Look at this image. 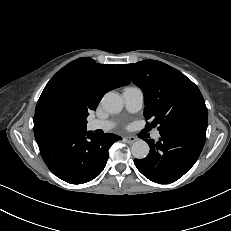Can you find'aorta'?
Returning a JSON list of instances; mask_svg holds the SVG:
<instances>
[{
  "label": "aorta",
  "mask_w": 231,
  "mask_h": 231,
  "mask_svg": "<svg viewBox=\"0 0 231 231\" xmlns=\"http://www.w3.org/2000/svg\"><path fill=\"white\" fill-rule=\"evenodd\" d=\"M104 109L112 114L119 113L123 108L121 96L115 92H108L102 98ZM132 154L137 159H144L149 154L150 148L144 140H137L131 147Z\"/></svg>",
  "instance_id": "1"
}]
</instances>
